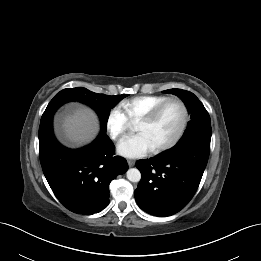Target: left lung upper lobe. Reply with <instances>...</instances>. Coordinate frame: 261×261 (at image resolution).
<instances>
[{"mask_svg": "<svg viewBox=\"0 0 261 261\" xmlns=\"http://www.w3.org/2000/svg\"><path fill=\"white\" fill-rule=\"evenodd\" d=\"M163 92L171 93L181 98L185 103L189 113L191 114V121H189L187 129L185 130L179 142L194 138L211 140L212 130L210 116L197 96L189 91L182 89H169Z\"/></svg>", "mask_w": 261, "mask_h": 261, "instance_id": "left-lung-upper-lobe-1", "label": "left lung upper lobe"}]
</instances>
